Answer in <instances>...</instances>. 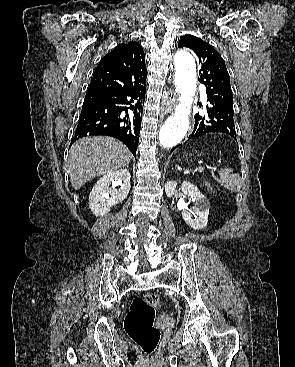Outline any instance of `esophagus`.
Wrapping results in <instances>:
<instances>
[{"instance_id": "1", "label": "esophagus", "mask_w": 295, "mask_h": 367, "mask_svg": "<svg viewBox=\"0 0 295 367\" xmlns=\"http://www.w3.org/2000/svg\"><path fill=\"white\" fill-rule=\"evenodd\" d=\"M174 103H175V92L173 91V89H170L162 100V106H161L162 111L165 114L171 113Z\"/></svg>"}]
</instances>
